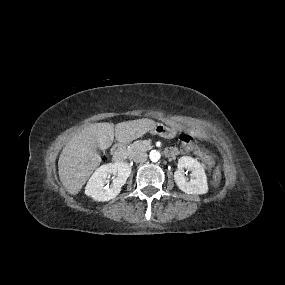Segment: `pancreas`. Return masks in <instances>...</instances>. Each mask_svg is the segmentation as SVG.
<instances>
[{
  "instance_id": "obj_1",
  "label": "pancreas",
  "mask_w": 285,
  "mask_h": 285,
  "mask_svg": "<svg viewBox=\"0 0 285 285\" xmlns=\"http://www.w3.org/2000/svg\"><path fill=\"white\" fill-rule=\"evenodd\" d=\"M149 147L144 141H135L128 147V153L130 157H134L139 152L147 151Z\"/></svg>"
}]
</instances>
